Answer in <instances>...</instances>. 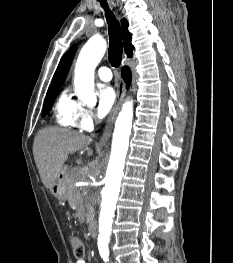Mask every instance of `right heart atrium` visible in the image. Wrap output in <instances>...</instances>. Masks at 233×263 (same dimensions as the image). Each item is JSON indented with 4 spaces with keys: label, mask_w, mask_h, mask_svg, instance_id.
Instances as JSON below:
<instances>
[{
    "label": "right heart atrium",
    "mask_w": 233,
    "mask_h": 263,
    "mask_svg": "<svg viewBox=\"0 0 233 263\" xmlns=\"http://www.w3.org/2000/svg\"><path fill=\"white\" fill-rule=\"evenodd\" d=\"M95 122V116L93 111L84 106H80V109L76 116L77 127L82 131L90 130Z\"/></svg>",
    "instance_id": "obj_1"
}]
</instances>
